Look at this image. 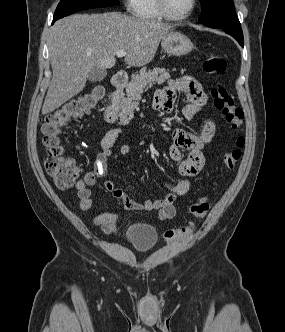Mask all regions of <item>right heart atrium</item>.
Listing matches in <instances>:
<instances>
[{"label": "right heart atrium", "instance_id": "d8ad5b80", "mask_svg": "<svg viewBox=\"0 0 285 332\" xmlns=\"http://www.w3.org/2000/svg\"><path fill=\"white\" fill-rule=\"evenodd\" d=\"M133 1L134 0H125V5H126L127 9H129V10L132 9Z\"/></svg>", "mask_w": 285, "mask_h": 332}]
</instances>
